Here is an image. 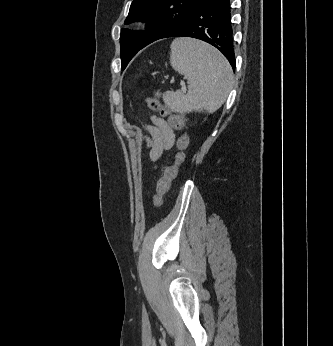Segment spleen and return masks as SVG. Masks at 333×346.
<instances>
[{"label": "spleen", "instance_id": "spleen-1", "mask_svg": "<svg viewBox=\"0 0 333 346\" xmlns=\"http://www.w3.org/2000/svg\"><path fill=\"white\" fill-rule=\"evenodd\" d=\"M170 49V64L187 79L188 91L166 92L165 104L174 112L215 111L233 88V72L227 59L196 39L177 38Z\"/></svg>", "mask_w": 333, "mask_h": 346}]
</instances>
